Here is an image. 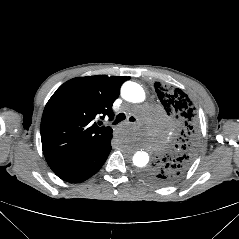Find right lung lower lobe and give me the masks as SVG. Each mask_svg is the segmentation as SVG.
<instances>
[{"instance_id":"obj_1","label":"right lung lower lobe","mask_w":239,"mask_h":239,"mask_svg":"<svg viewBox=\"0 0 239 239\" xmlns=\"http://www.w3.org/2000/svg\"><path fill=\"white\" fill-rule=\"evenodd\" d=\"M112 132L94 149L82 158L53 171L59 178L71 183H79L97 173L105 163L111 151Z\"/></svg>"}]
</instances>
